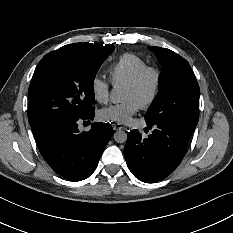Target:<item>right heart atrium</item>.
Segmentation results:
<instances>
[{
  "label": "right heart atrium",
  "mask_w": 233,
  "mask_h": 233,
  "mask_svg": "<svg viewBox=\"0 0 233 233\" xmlns=\"http://www.w3.org/2000/svg\"><path fill=\"white\" fill-rule=\"evenodd\" d=\"M91 89L94 98L102 103L109 99L110 83L98 76H94L91 80Z\"/></svg>",
  "instance_id": "obj_1"
}]
</instances>
